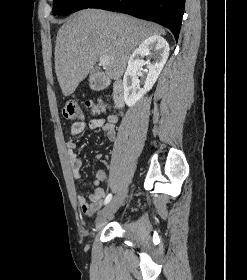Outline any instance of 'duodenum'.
<instances>
[{
    "instance_id": "duodenum-1",
    "label": "duodenum",
    "mask_w": 247,
    "mask_h": 280,
    "mask_svg": "<svg viewBox=\"0 0 247 280\" xmlns=\"http://www.w3.org/2000/svg\"><path fill=\"white\" fill-rule=\"evenodd\" d=\"M108 85V80L104 76H97L94 80L93 87L97 90L103 89ZM112 98L117 108H121L124 105V87L120 80L113 83L112 86Z\"/></svg>"
}]
</instances>
